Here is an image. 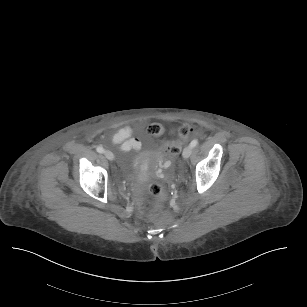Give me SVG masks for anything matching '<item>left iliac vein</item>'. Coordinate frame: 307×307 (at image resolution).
Here are the masks:
<instances>
[{"mask_svg":"<svg viewBox=\"0 0 307 307\" xmlns=\"http://www.w3.org/2000/svg\"><path fill=\"white\" fill-rule=\"evenodd\" d=\"M191 153H192V147L191 146H187V147L184 148L182 156H183L184 159H187V158H189Z\"/></svg>","mask_w":307,"mask_h":307,"instance_id":"4c4485c4","label":"left iliac vein"}]
</instances>
